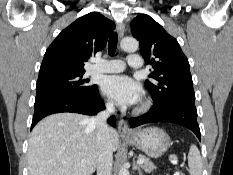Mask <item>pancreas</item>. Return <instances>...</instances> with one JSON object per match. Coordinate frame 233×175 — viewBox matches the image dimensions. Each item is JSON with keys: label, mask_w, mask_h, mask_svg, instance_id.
Segmentation results:
<instances>
[{"label": "pancreas", "mask_w": 233, "mask_h": 175, "mask_svg": "<svg viewBox=\"0 0 233 175\" xmlns=\"http://www.w3.org/2000/svg\"><path fill=\"white\" fill-rule=\"evenodd\" d=\"M140 158L145 159V162L141 165V167L145 170V172L150 173L156 169V166L152 162H150L149 159H147L144 156H140Z\"/></svg>", "instance_id": "obj_1"}]
</instances>
